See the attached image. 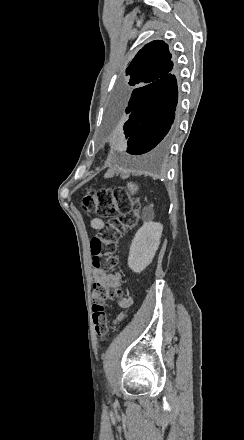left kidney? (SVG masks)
<instances>
[{"instance_id":"left-kidney-1","label":"left kidney","mask_w":244,"mask_h":440,"mask_svg":"<svg viewBox=\"0 0 244 440\" xmlns=\"http://www.w3.org/2000/svg\"><path fill=\"white\" fill-rule=\"evenodd\" d=\"M162 230V224L157 222H144L142 228L137 230L128 256V266L136 274L151 264L160 244Z\"/></svg>"}]
</instances>
